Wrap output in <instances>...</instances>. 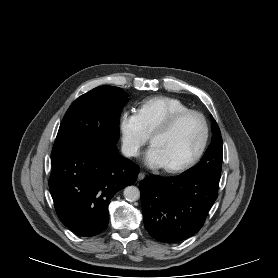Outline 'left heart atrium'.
I'll list each match as a JSON object with an SVG mask.
<instances>
[{
	"mask_svg": "<svg viewBox=\"0 0 278 278\" xmlns=\"http://www.w3.org/2000/svg\"><path fill=\"white\" fill-rule=\"evenodd\" d=\"M144 160L151 168H161L165 166L158 149L154 145H151L146 151Z\"/></svg>",
	"mask_w": 278,
	"mask_h": 278,
	"instance_id": "1",
	"label": "left heart atrium"
}]
</instances>
